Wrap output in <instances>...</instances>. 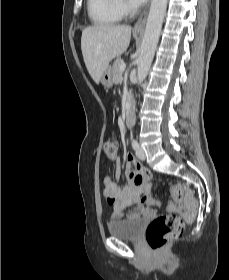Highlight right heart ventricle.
<instances>
[{
  "instance_id": "1",
  "label": "right heart ventricle",
  "mask_w": 229,
  "mask_h": 280,
  "mask_svg": "<svg viewBox=\"0 0 229 280\" xmlns=\"http://www.w3.org/2000/svg\"><path fill=\"white\" fill-rule=\"evenodd\" d=\"M90 21L98 27H110L119 22L123 12L118 0H87Z\"/></svg>"
}]
</instances>
